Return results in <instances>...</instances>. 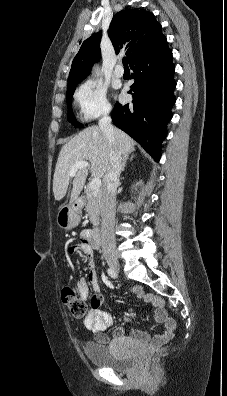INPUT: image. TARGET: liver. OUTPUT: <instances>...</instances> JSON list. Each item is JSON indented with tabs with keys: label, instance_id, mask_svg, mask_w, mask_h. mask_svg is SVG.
Segmentation results:
<instances>
[{
	"label": "liver",
	"instance_id": "1",
	"mask_svg": "<svg viewBox=\"0 0 227 396\" xmlns=\"http://www.w3.org/2000/svg\"><path fill=\"white\" fill-rule=\"evenodd\" d=\"M114 130L115 145L108 143L98 126H91L78 133L61 148L53 178L55 200L59 201L66 195L72 178L74 179L70 202L75 201L83 189L88 169L80 168L74 176H70L75 163L88 160L91 175L102 178L111 164L110 158L113 152L125 155L134 150V140L123 131Z\"/></svg>",
	"mask_w": 227,
	"mask_h": 396
}]
</instances>
